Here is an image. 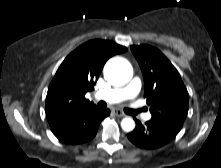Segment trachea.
Wrapping results in <instances>:
<instances>
[{"mask_svg":"<svg viewBox=\"0 0 221 168\" xmlns=\"http://www.w3.org/2000/svg\"><path fill=\"white\" fill-rule=\"evenodd\" d=\"M98 106L104 108V107L107 106V104H106L105 102H103V101H100V102L98 103ZM139 111H141V110H137V111L131 110V109H126V110H125V112L128 113V114H130V115H136Z\"/></svg>","mask_w":221,"mask_h":168,"instance_id":"trachea-1","label":"trachea"}]
</instances>
